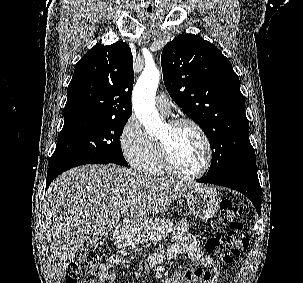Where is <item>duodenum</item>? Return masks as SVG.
I'll use <instances>...</instances> for the list:
<instances>
[{
    "label": "duodenum",
    "mask_w": 303,
    "mask_h": 283,
    "mask_svg": "<svg viewBox=\"0 0 303 283\" xmlns=\"http://www.w3.org/2000/svg\"><path fill=\"white\" fill-rule=\"evenodd\" d=\"M128 225H129V223L126 221L119 223L113 231V237L118 238V237L123 236L126 229L128 228Z\"/></svg>",
    "instance_id": "1"
}]
</instances>
